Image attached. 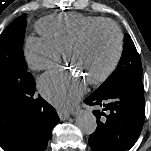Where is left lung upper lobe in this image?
<instances>
[{"instance_id":"obj_1","label":"left lung upper lobe","mask_w":151,"mask_h":151,"mask_svg":"<svg viewBox=\"0 0 151 151\" xmlns=\"http://www.w3.org/2000/svg\"><path fill=\"white\" fill-rule=\"evenodd\" d=\"M142 75L140 56L130 35L126 34L124 36L123 53L116 70L93 93L96 95L109 93L126 80L132 77H142Z\"/></svg>"}]
</instances>
